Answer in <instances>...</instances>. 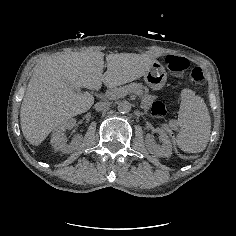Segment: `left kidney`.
Returning <instances> with one entry per match:
<instances>
[{"label": "left kidney", "instance_id": "1", "mask_svg": "<svg viewBox=\"0 0 236 236\" xmlns=\"http://www.w3.org/2000/svg\"><path fill=\"white\" fill-rule=\"evenodd\" d=\"M161 141L162 146H158L154 143L151 135H146L145 145L150 154L158 158H169L172 155V145L168 135L162 129H156Z\"/></svg>", "mask_w": 236, "mask_h": 236}]
</instances>
